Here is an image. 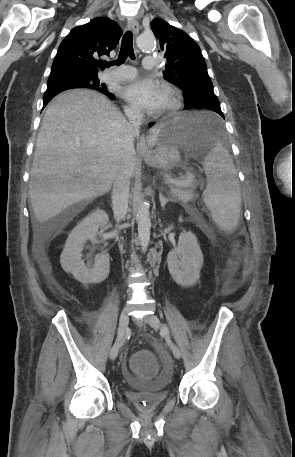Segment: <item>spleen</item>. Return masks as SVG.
Masks as SVG:
<instances>
[{
	"label": "spleen",
	"mask_w": 295,
	"mask_h": 457,
	"mask_svg": "<svg viewBox=\"0 0 295 457\" xmlns=\"http://www.w3.org/2000/svg\"><path fill=\"white\" fill-rule=\"evenodd\" d=\"M203 168L207 177L203 201L217 226L231 232L238 225L242 203L232 158L217 142L205 156Z\"/></svg>",
	"instance_id": "obj_1"
}]
</instances>
